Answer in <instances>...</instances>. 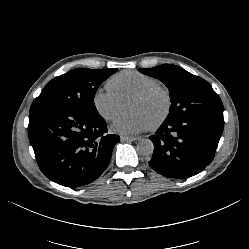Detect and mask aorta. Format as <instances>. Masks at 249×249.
<instances>
[{
  "label": "aorta",
  "mask_w": 249,
  "mask_h": 249,
  "mask_svg": "<svg viewBox=\"0 0 249 249\" xmlns=\"http://www.w3.org/2000/svg\"><path fill=\"white\" fill-rule=\"evenodd\" d=\"M154 144L150 139H140L137 143V152L140 155H150L153 153Z\"/></svg>",
  "instance_id": "1"
}]
</instances>
